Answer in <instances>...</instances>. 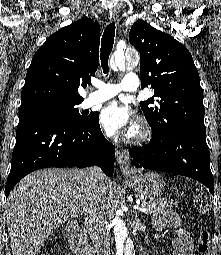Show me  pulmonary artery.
<instances>
[{"label": "pulmonary artery", "instance_id": "1", "mask_svg": "<svg viewBox=\"0 0 221 255\" xmlns=\"http://www.w3.org/2000/svg\"><path fill=\"white\" fill-rule=\"evenodd\" d=\"M138 84L139 77L134 73L126 74L119 85L98 81L95 83L97 90L86 98L85 105L90 107L102 103L121 91H135Z\"/></svg>", "mask_w": 221, "mask_h": 255}]
</instances>
